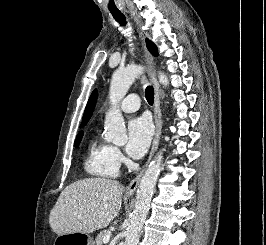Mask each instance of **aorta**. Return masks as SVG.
<instances>
[{
  "mask_svg": "<svg viewBox=\"0 0 266 245\" xmlns=\"http://www.w3.org/2000/svg\"><path fill=\"white\" fill-rule=\"evenodd\" d=\"M142 66L138 64H130L122 70H116L112 74L110 88H109V100L112 104L109 112H106L105 116V141H111L113 145H126L127 143V131L124 125V116L118 106L121 98H124L127 94L132 82L137 78L138 74H141ZM159 82L164 86H169V80L165 72H158ZM162 161V153H157L154 157V161L150 163L148 169H146L138 187L136 203L134 211L130 217L129 227L126 229L125 245H138L141 229L145 223L146 215L149 211L154 187L157 183L158 175H160V167Z\"/></svg>",
  "mask_w": 266,
  "mask_h": 245,
  "instance_id": "762f6f07",
  "label": "aorta"
}]
</instances>
